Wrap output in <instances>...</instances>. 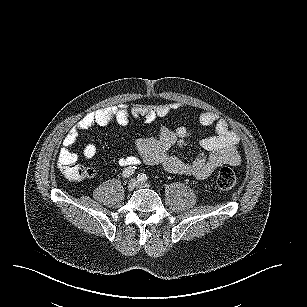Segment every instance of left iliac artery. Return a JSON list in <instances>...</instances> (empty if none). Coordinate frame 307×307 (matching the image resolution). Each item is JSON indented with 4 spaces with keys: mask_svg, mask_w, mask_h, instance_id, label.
<instances>
[{
    "mask_svg": "<svg viewBox=\"0 0 307 307\" xmlns=\"http://www.w3.org/2000/svg\"><path fill=\"white\" fill-rule=\"evenodd\" d=\"M137 178H138V181H147V176H146V174H144V173H141V174H139L138 176H137Z\"/></svg>",
    "mask_w": 307,
    "mask_h": 307,
    "instance_id": "1",
    "label": "left iliac artery"
}]
</instances>
